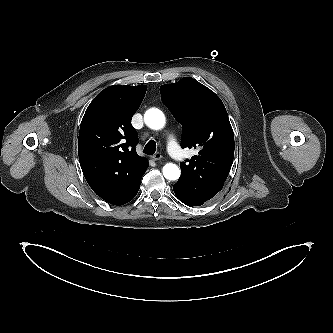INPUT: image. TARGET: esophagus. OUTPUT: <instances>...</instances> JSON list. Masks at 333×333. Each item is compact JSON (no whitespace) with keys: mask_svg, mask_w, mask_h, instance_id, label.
Segmentation results:
<instances>
[{"mask_svg":"<svg viewBox=\"0 0 333 333\" xmlns=\"http://www.w3.org/2000/svg\"><path fill=\"white\" fill-rule=\"evenodd\" d=\"M152 160L154 161H158V160H161L162 158V155L160 153H155L154 155L151 156Z\"/></svg>","mask_w":333,"mask_h":333,"instance_id":"34e87169","label":"esophagus"}]
</instances>
